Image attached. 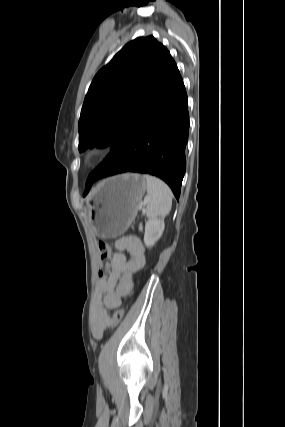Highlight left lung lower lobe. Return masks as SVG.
<instances>
[{
	"label": "left lung lower lobe",
	"instance_id": "1",
	"mask_svg": "<svg viewBox=\"0 0 285 427\" xmlns=\"http://www.w3.org/2000/svg\"><path fill=\"white\" fill-rule=\"evenodd\" d=\"M188 129L187 94L172 59L146 106L117 147L89 175L84 195L97 179L139 172L163 179L179 199L186 169Z\"/></svg>",
	"mask_w": 285,
	"mask_h": 427
}]
</instances>
